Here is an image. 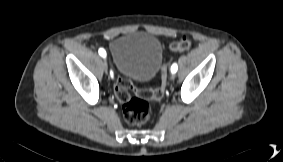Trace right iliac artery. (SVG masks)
Instances as JSON below:
<instances>
[{"label":"right iliac artery","instance_id":"obj_1","mask_svg":"<svg viewBox=\"0 0 283 162\" xmlns=\"http://www.w3.org/2000/svg\"><path fill=\"white\" fill-rule=\"evenodd\" d=\"M98 52H99V55H100V56L106 57V51H105L103 48H100ZM111 74H112V73H111Z\"/></svg>","mask_w":283,"mask_h":162}]
</instances>
